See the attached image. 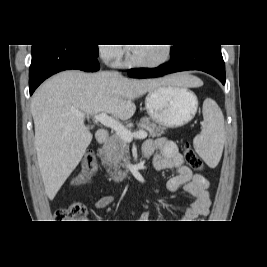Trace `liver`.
<instances>
[{"label":"liver","instance_id":"1","mask_svg":"<svg viewBox=\"0 0 267 267\" xmlns=\"http://www.w3.org/2000/svg\"><path fill=\"white\" fill-rule=\"evenodd\" d=\"M200 87L197 77L180 73L160 79H128L111 72H61L43 83L31 100L35 148L46 195L53 200L92 141L86 115L109 113L127 120L134 99L160 86ZM84 114L79 117L78 114Z\"/></svg>","mask_w":267,"mask_h":267}]
</instances>
